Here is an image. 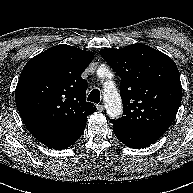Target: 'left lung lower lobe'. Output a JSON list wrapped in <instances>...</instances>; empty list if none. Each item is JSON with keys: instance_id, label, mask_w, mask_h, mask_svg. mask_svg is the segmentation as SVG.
I'll use <instances>...</instances> for the list:
<instances>
[{"instance_id": "obj_1", "label": "left lung lower lobe", "mask_w": 193, "mask_h": 193, "mask_svg": "<svg viewBox=\"0 0 193 193\" xmlns=\"http://www.w3.org/2000/svg\"><path fill=\"white\" fill-rule=\"evenodd\" d=\"M114 133L123 144L134 149L145 148L163 135L157 131L130 132L117 127H114Z\"/></svg>"}]
</instances>
